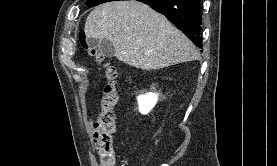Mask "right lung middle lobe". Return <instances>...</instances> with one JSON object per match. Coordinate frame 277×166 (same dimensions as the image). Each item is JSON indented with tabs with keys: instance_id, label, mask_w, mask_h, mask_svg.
I'll use <instances>...</instances> for the list:
<instances>
[{
	"instance_id": "dd1d6c3e",
	"label": "right lung middle lobe",
	"mask_w": 277,
	"mask_h": 166,
	"mask_svg": "<svg viewBox=\"0 0 277 166\" xmlns=\"http://www.w3.org/2000/svg\"><path fill=\"white\" fill-rule=\"evenodd\" d=\"M109 1H112V0H88V2L86 3V6L88 8H91V7H94L96 5H99V4H102V3H105V2H109Z\"/></svg>"
}]
</instances>
